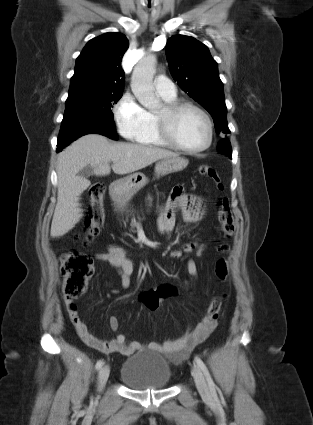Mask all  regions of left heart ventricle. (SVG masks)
<instances>
[{
    "mask_svg": "<svg viewBox=\"0 0 313 425\" xmlns=\"http://www.w3.org/2000/svg\"><path fill=\"white\" fill-rule=\"evenodd\" d=\"M161 112L162 110L159 113ZM174 130L179 142L192 149L204 145L208 138L205 119L193 110L186 111L179 116Z\"/></svg>",
    "mask_w": 313,
    "mask_h": 425,
    "instance_id": "b2bd125f",
    "label": "left heart ventricle"
}]
</instances>
